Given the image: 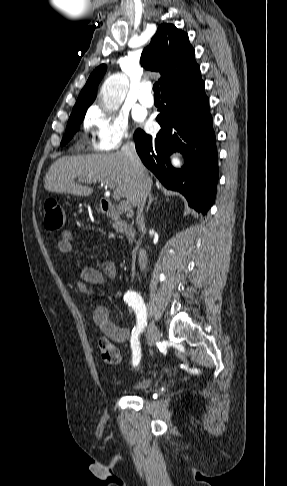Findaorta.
<instances>
[{
    "instance_id": "1",
    "label": "aorta",
    "mask_w": 287,
    "mask_h": 486,
    "mask_svg": "<svg viewBox=\"0 0 287 486\" xmlns=\"http://www.w3.org/2000/svg\"><path fill=\"white\" fill-rule=\"evenodd\" d=\"M128 91V81L123 75L110 77L102 88V107L107 112L117 110Z\"/></svg>"
}]
</instances>
